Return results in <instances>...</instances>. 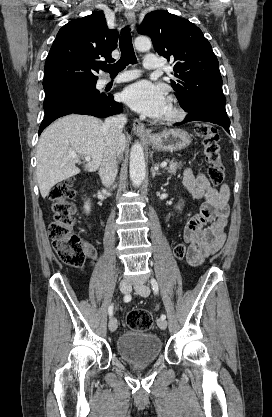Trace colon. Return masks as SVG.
I'll return each mask as SVG.
<instances>
[{"label": "colon", "mask_w": 272, "mask_h": 417, "mask_svg": "<svg viewBox=\"0 0 272 417\" xmlns=\"http://www.w3.org/2000/svg\"><path fill=\"white\" fill-rule=\"evenodd\" d=\"M196 134L203 139L204 154L208 165V177L212 184L219 185L224 179V169L219 152V135L217 129L207 123L195 127ZM75 195L73 181L66 180L56 184L49 193L52 218L48 231L55 251L60 260L66 264L79 266L83 264L88 251L87 243L73 232L75 224V206L71 202ZM188 246L179 243L174 247V256L181 260L185 257ZM126 323L129 328L147 331L153 325L150 311L136 309L128 313Z\"/></svg>", "instance_id": "obj_1"}]
</instances>
